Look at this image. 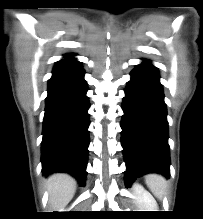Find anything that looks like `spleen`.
Listing matches in <instances>:
<instances>
[{"mask_svg": "<svg viewBox=\"0 0 203 219\" xmlns=\"http://www.w3.org/2000/svg\"><path fill=\"white\" fill-rule=\"evenodd\" d=\"M145 182L157 198L161 199L163 197L167 188V182L164 177L158 174H149L146 176Z\"/></svg>", "mask_w": 203, "mask_h": 219, "instance_id": "obj_1", "label": "spleen"}]
</instances>
